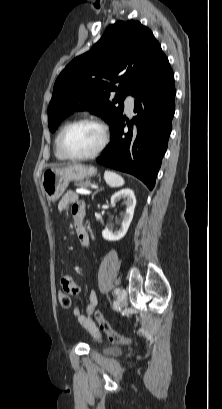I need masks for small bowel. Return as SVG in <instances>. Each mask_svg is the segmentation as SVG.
I'll use <instances>...</instances> for the list:
<instances>
[{
	"label": "small bowel",
	"mask_w": 222,
	"mask_h": 409,
	"mask_svg": "<svg viewBox=\"0 0 222 409\" xmlns=\"http://www.w3.org/2000/svg\"><path fill=\"white\" fill-rule=\"evenodd\" d=\"M70 209L74 217V227L81 244L88 248L90 246L91 234L83 223L85 204L78 199L75 192L68 191L63 196L59 203V210L66 211ZM70 286L68 294L70 297H77L80 292V287L76 284L71 276H64L62 279V287ZM98 297L94 291L89 293L88 303L85 311L79 307L73 309V315L84 328L88 329L96 338L99 337V331L94 324L93 315L97 310Z\"/></svg>",
	"instance_id": "obj_1"
}]
</instances>
